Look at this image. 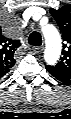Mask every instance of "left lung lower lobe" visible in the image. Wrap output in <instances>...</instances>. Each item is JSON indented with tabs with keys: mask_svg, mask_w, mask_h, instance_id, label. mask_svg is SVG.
Listing matches in <instances>:
<instances>
[{
	"mask_svg": "<svg viewBox=\"0 0 71 119\" xmlns=\"http://www.w3.org/2000/svg\"><path fill=\"white\" fill-rule=\"evenodd\" d=\"M46 70L64 84H71V72L46 65Z\"/></svg>",
	"mask_w": 71,
	"mask_h": 119,
	"instance_id": "left-lung-lower-lobe-1",
	"label": "left lung lower lobe"
}]
</instances>
